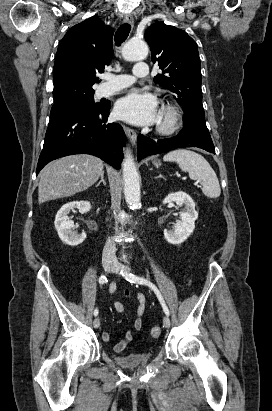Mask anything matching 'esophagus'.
I'll return each mask as SVG.
<instances>
[{"mask_svg":"<svg viewBox=\"0 0 272 411\" xmlns=\"http://www.w3.org/2000/svg\"><path fill=\"white\" fill-rule=\"evenodd\" d=\"M133 22H134L133 15L132 14H126L125 17H124V23H128V24L132 25ZM122 127H123V130L126 133L127 137L129 138L130 142L132 144H135L136 140H137V134H136L135 130H133V129L125 126V125H123Z\"/></svg>","mask_w":272,"mask_h":411,"instance_id":"34e87169","label":"esophagus"}]
</instances>
